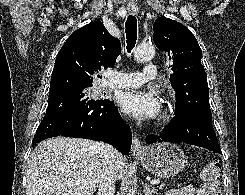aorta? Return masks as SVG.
I'll return each instance as SVG.
<instances>
[{
	"mask_svg": "<svg viewBox=\"0 0 245 195\" xmlns=\"http://www.w3.org/2000/svg\"><path fill=\"white\" fill-rule=\"evenodd\" d=\"M155 55V48L152 45H139L134 52V57L137 62H147L153 59ZM131 195V191L128 193Z\"/></svg>",
	"mask_w": 245,
	"mask_h": 195,
	"instance_id": "1",
	"label": "aorta"
}]
</instances>
